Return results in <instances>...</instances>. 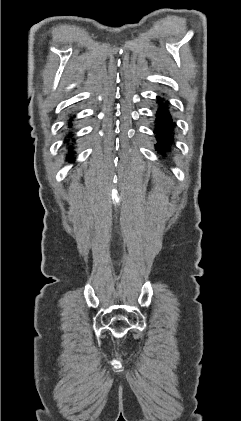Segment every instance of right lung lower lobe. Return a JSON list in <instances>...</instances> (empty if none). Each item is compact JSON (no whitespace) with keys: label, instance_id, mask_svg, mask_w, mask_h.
I'll list each match as a JSON object with an SVG mask.
<instances>
[{"label":"right lung lower lobe","instance_id":"right-lung-lower-lobe-1","mask_svg":"<svg viewBox=\"0 0 241 421\" xmlns=\"http://www.w3.org/2000/svg\"><path fill=\"white\" fill-rule=\"evenodd\" d=\"M68 137H71L72 136V134L71 133H69L68 135H67ZM73 140V139H72ZM68 150H69V154H68V158L71 160L73 157H74V153L72 152V146H68Z\"/></svg>","mask_w":241,"mask_h":421}]
</instances>
